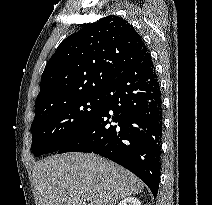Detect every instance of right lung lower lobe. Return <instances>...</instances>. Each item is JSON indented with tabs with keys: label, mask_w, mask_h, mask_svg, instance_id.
Listing matches in <instances>:
<instances>
[{
	"label": "right lung lower lobe",
	"mask_w": 212,
	"mask_h": 205,
	"mask_svg": "<svg viewBox=\"0 0 212 205\" xmlns=\"http://www.w3.org/2000/svg\"><path fill=\"white\" fill-rule=\"evenodd\" d=\"M97 114L57 152H94L137 175L156 197L160 180L162 97L148 52L103 91Z\"/></svg>",
	"instance_id": "obj_1"
}]
</instances>
